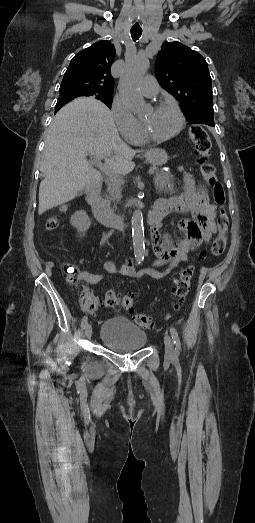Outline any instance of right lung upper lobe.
Wrapping results in <instances>:
<instances>
[{"label": "right lung upper lobe", "instance_id": "right-lung-upper-lobe-1", "mask_svg": "<svg viewBox=\"0 0 255 523\" xmlns=\"http://www.w3.org/2000/svg\"><path fill=\"white\" fill-rule=\"evenodd\" d=\"M115 55L114 45L107 40H101L80 51L71 60L59 92L112 95L114 80L110 69ZM66 103L68 102L58 101L55 113Z\"/></svg>", "mask_w": 255, "mask_h": 523}]
</instances>
